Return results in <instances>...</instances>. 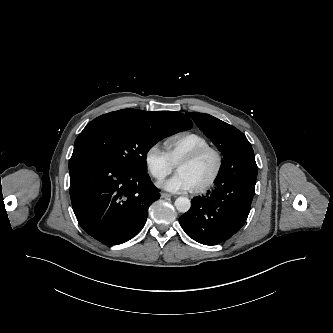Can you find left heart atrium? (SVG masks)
Masks as SVG:
<instances>
[{
	"instance_id": "1",
	"label": "left heart atrium",
	"mask_w": 333,
	"mask_h": 333,
	"mask_svg": "<svg viewBox=\"0 0 333 333\" xmlns=\"http://www.w3.org/2000/svg\"><path fill=\"white\" fill-rule=\"evenodd\" d=\"M160 186L173 193H182L194 189V185L189 178L179 172L170 179L160 183Z\"/></svg>"
}]
</instances>
